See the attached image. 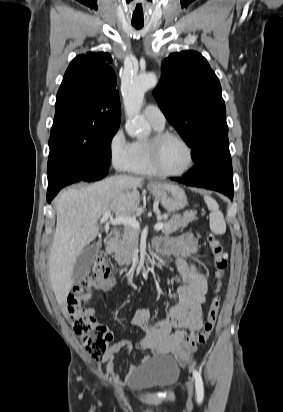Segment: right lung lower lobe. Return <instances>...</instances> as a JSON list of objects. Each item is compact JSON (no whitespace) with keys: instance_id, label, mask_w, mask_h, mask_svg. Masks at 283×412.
Returning a JSON list of instances; mask_svg holds the SVG:
<instances>
[{"instance_id":"1","label":"right lung lower lobe","mask_w":283,"mask_h":412,"mask_svg":"<svg viewBox=\"0 0 283 412\" xmlns=\"http://www.w3.org/2000/svg\"><path fill=\"white\" fill-rule=\"evenodd\" d=\"M110 164L95 163L78 168H61L48 174L47 202L50 203L59 190L74 182L95 181L105 177Z\"/></svg>"}]
</instances>
